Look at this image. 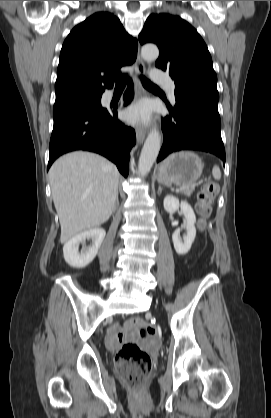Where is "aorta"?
<instances>
[{
	"label": "aorta",
	"mask_w": 271,
	"mask_h": 418,
	"mask_svg": "<svg viewBox=\"0 0 271 418\" xmlns=\"http://www.w3.org/2000/svg\"><path fill=\"white\" fill-rule=\"evenodd\" d=\"M141 56L147 62H151L158 58L159 50L156 45L147 44L142 47ZM160 148V133L156 128H153L146 138V141L144 143L139 157L138 172L141 176H145L150 172L154 162L157 159Z\"/></svg>",
	"instance_id": "aorta-1"
}]
</instances>
